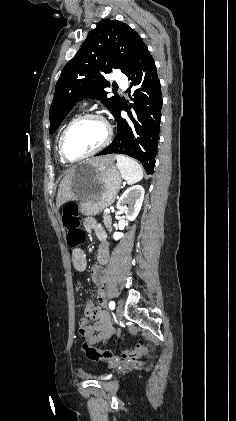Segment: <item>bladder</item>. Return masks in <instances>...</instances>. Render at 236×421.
<instances>
[{"label":"bladder","mask_w":236,"mask_h":421,"mask_svg":"<svg viewBox=\"0 0 236 421\" xmlns=\"http://www.w3.org/2000/svg\"><path fill=\"white\" fill-rule=\"evenodd\" d=\"M89 375L87 373L82 374V379H89ZM96 379H103L102 375H96Z\"/></svg>","instance_id":"bladder-1"}]
</instances>
